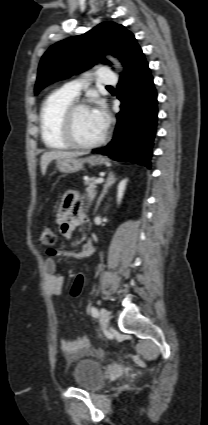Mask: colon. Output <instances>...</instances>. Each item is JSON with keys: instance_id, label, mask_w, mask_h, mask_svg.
Segmentation results:
<instances>
[{"instance_id": "5ec220e1", "label": "colon", "mask_w": 208, "mask_h": 425, "mask_svg": "<svg viewBox=\"0 0 208 425\" xmlns=\"http://www.w3.org/2000/svg\"><path fill=\"white\" fill-rule=\"evenodd\" d=\"M39 242L44 246H53L56 242V233L53 227L44 226L40 232ZM86 276L79 274L75 278L73 285L70 290V294L73 297H79L86 285Z\"/></svg>"}]
</instances>
